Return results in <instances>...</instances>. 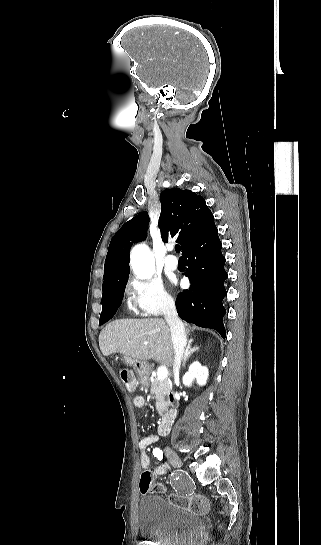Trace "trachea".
I'll return each mask as SVG.
<instances>
[{
	"mask_svg": "<svg viewBox=\"0 0 321 545\" xmlns=\"http://www.w3.org/2000/svg\"><path fill=\"white\" fill-rule=\"evenodd\" d=\"M175 250H176V252H178V253H179V252H180V250H181V247H180V245H176V246H175ZM181 258H182V257H181Z\"/></svg>",
	"mask_w": 321,
	"mask_h": 545,
	"instance_id": "3493384b",
	"label": "trachea"
}]
</instances>
